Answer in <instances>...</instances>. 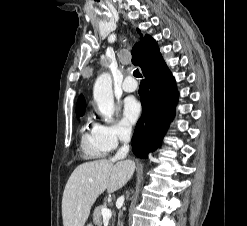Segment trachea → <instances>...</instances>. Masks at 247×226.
I'll use <instances>...</instances> for the list:
<instances>
[{
    "mask_svg": "<svg viewBox=\"0 0 247 226\" xmlns=\"http://www.w3.org/2000/svg\"><path fill=\"white\" fill-rule=\"evenodd\" d=\"M133 75H134L135 77H137V78L142 77V75H141V73L139 72L138 69H136V70L133 72Z\"/></svg>",
    "mask_w": 247,
    "mask_h": 226,
    "instance_id": "3493384b",
    "label": "trachea"
}]
</instances>
